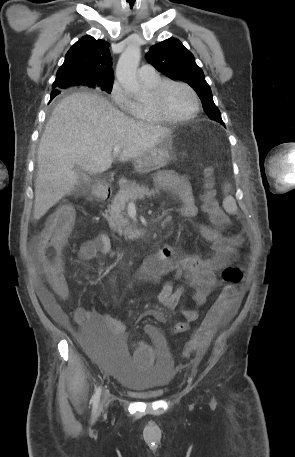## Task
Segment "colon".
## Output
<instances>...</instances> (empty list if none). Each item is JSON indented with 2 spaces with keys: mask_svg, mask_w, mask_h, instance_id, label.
<instances>
[{
  "mask_svg": "<svg viewBox=\"0 0 295 457\" xmlns=\"http://www.w3.org/2000/svg\"><path fill=\"white\" fill-rule=\"evenodd\" d=\"M205 191L202 197L203 210L211 221L218 226L229 224L228 216L220 208L211 188L210 171L206 170ZM74 213L69 206L58 209L47 223V226L37 244V252L44 272L53 290L62 298L69 296V287L63 276L62 249L67 234L73 224ZM243 271L240 267L229 266L222 272L225 286L207 312L200 326L190 337L187 352L203 350L210 342L218 325L225 321L235 310L240 299V284L243 280ZM136 366H153L156 360L155 351L145 342H138L134 347Z\"/></svg>",
  "mask_w": 295,
  "mask_h": 457,
  "instance_id": "5ec220e1",
  "label": "colon"
}]
</instances>
